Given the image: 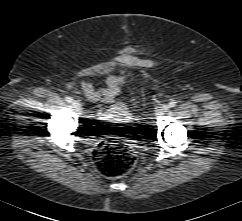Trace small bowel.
<instances>
[{"label": "small bowel", "instance_id": "c3829d8e", "mask_svg": "<svg viewBox=\"0 0 242 221\" xmlns=\"http://www.w3.org/2000/svg\"><path fill=\"white\" fill-rule=\"evenodd\" d=\"M125 79V73L120 70L118 74L110 75L106 79V86L95 88L89 82H83L79 85V91L89 100L99 105L98 110L93 114V120L96 123H105L116 113H122L124 109L115 102L116 95ZM110 104V109L105 110L104 105Z\"/></svg>", "mask_w": 242, "mask_h": 221}]
</instances>
